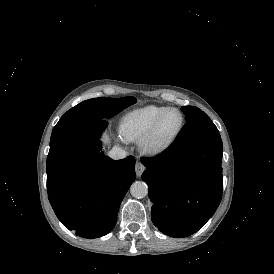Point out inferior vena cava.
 Segmentation results:
<instances>
[{"instance_id":"602c4592","label":"inferior vena cava","mask_w":274,"mask_h":274,"mask_svg":"<svg viewBox=\"0 0 274 274\" xmlns=\"http://www.w3.org/2000/svg\"><path fill=\"white\" fill-rule=\"evenodd\" d=\"M127 152L118 146H113V148L108 152V156L114 160H119L125 158Z\"/></svg>"}]
</instances>
